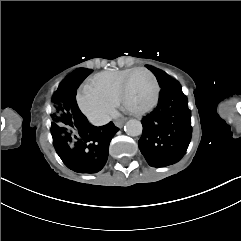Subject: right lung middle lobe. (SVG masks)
Instances as JSON below:
<instances>
[{"label":"right lung middle lobe","instance_id":"dd1d6c3e","mask_svg":"<svg viewBox=\"0 0 241 241\" xmlns=\"http://www.w3.org/2000/svg\"><path fill=\"white\" fill-rule=\"evenodd\" d=\"M89 75L92 70L84 69ZM68 93L66 79L59 85L51 100V133H72L74 124L69 109L66 106L65 95Z\"/></svg>","mask_w":241,"mask_h":241}]
</instances>
